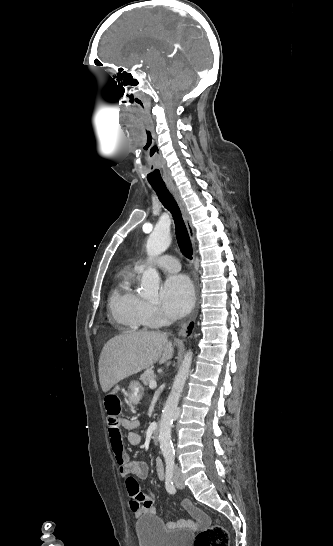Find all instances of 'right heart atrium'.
I'll return each mask as SVG.
<instances>
[{"mask_svg": "<svg viewBox=\"0 0 333 546\" xmlns=\"http://www.w3.org/2000/svg\"><path fill=\"white\" fill-rule=\"evenodd\" d=\"M139 313L143 321L150 326L159 325L166 320L162 311L156 305L143 300L139 305Z\"/></svg>", "mask_w": 333, "mask_h": 546, "instance_id": "1", "label": "right heart atrium"}]
</instances>
